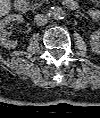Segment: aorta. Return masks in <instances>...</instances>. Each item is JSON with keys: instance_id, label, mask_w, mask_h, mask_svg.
Returning <instances> with one entry per match:
<instances>
[{"instance_id": "obj_1", "label": "aorta", "mask_w": 100, "mask_h": 118, "mask_svg": "<svg viewBox=\"0 0 100 118\" xmlns=\"http://www.w3.org/2000/svg\"><path fill=\"white\" fill-rule=\"evenodd\" d=\"M48 16L54 20H61L65 17V12L61 7L54 6L49 9Z\"/></svg>"}]
</instances>
